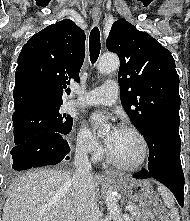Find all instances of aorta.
I'll use <instances>...</instances> for the list:
<instances>
[{
    "mask_svg": "<svg viewBox=\"0 0 190 221\" xmlns=\"http://www.w3.org/2000/svg\"><path fill=\"white\" fill-rule=\"evenodd\" d=\"M119 64V59L116 55L107 54L100 58L98 63V71L104 74L111 73L119 68ZM105 203L109 215L113 218V221H124L117 197L112 190L107 191Z\"/></svg>",
    "mask_w": 190,
    "mask_h": 221,
    "instance_id": "aorta-1",
    "label": "aorta"
}]
</instances>
